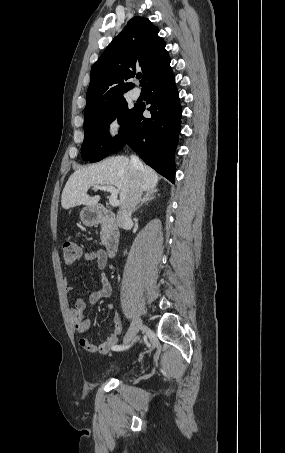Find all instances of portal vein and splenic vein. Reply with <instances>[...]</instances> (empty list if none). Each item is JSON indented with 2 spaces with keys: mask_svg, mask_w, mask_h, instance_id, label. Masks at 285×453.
<instances>
[{
  "mask_svg": "<svg viewBox=\"0 0 285 453\" xmlns=\"http://www.w3.org/2000/svg\"><path fill=\"white\" fill-rule=\"evenodd\" d=\"M96 190H104L110 193L109 203L111 206H117L120 202L118 200L119 190L112 185H93Z\"/></svg>",
  "mask_w": 285,
  "mask_h": 453,
  "instance_id": "obj_1",
  "label": "portal vein and splenic vein"
}]
</instances>
